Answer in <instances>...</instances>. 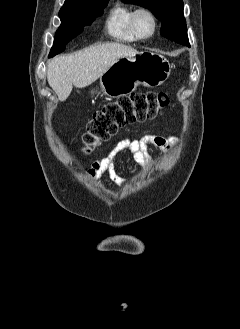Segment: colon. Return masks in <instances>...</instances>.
<instances>
[{
    "mask_svg": "<svg viewBox=\"0 0 240 329\" xmlns=\"http://www.w3.org/2000/svg\"><path fill=\"white\" fill-rule=\"evenodd\" d=\"M169 104L164 92H142L121 97L96 110L83 135L84 152L90 153L95 147L127 125L154 119L161 109Z\"/></svg>",
    "mask_w": 240,
    "mask_h": 329,
    "instance_id": "1",
    "label": "colon"
}]
</instances>
